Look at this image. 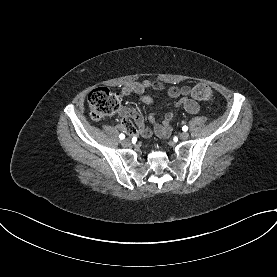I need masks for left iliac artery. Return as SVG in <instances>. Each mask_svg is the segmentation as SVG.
I'll return each instance as SVG.
<instances>
[{
    "mask_svg": "<svg viewBox=\"0 0 277 277\" xmlns=\"http://www.w3.org/2000/svg\"><path fill=\"white\" fill-rule=\"evenodd\" d=\"M182 130H183V131H187V130H188V127H187V126H183Z\"/></svg>",
    "mask_w": 277,
    "mask_h": 277,
    "instance_id": "left-iliac-artery-1",
    "label": "left iliac artery"
}]
</instances>
